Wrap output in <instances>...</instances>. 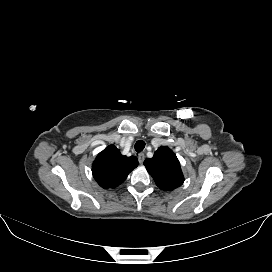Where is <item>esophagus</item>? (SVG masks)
<instances>
[{
	"instance_id": "1",
	"label": "esophagus",
	"mask_w": 272,
	"mask_h": 272,
	"mask_svg": "<svg viewBox=\"0 0 272 272\" xmlns=\"http://www.w3.org/2000/svg\"><path fill=\"white\" fill-rule=\"evenodd\" d=\"M144 159H145V154L144 153H139L138 154V161H139L140 164H143Z\"/></svg>"
}]
</instances>
